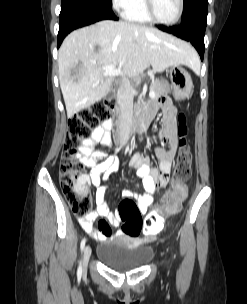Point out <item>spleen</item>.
Returning a JSON list of instances; mask_svg holds the SVG:
<instances>
[{
	"instance_id": "1",
	"label": "spleen",
	"mask_w": 247,
	"mask_h": 304,
	"mask_svg": "<svg viewBox=\"0 0 247 304\" xmlns=\"http://www.w3.org/2000/svg\"><path fill=\"white\" fill-rule=\"evenodd\" d=\"M198 63H199V60H198ZM199 67H200V63H199ZM199 67H198V68H199Z\"/></svg>"
}]
</instances>
